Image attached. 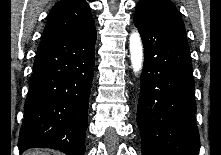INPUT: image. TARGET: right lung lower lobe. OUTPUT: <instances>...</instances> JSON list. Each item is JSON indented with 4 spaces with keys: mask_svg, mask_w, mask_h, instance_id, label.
Segmentation results:
<instances>
[{
    "mask_svg": "<svg viewBox=\"0 0 221 155\" xmlns=\"http://www.w3.org/2000/svg\"><path fill=\"white\" fill-rule=\"evenodd\" d=\"M96 35L94 24L43 35L24 106L20 153L37 147L84 155Z\"/></svg>",
    "mask_w": 221,
    "mask_h": 155,
    "instance_id": "98d812e1",
    "label": "right lung lower lobe"
}]
</instances>
